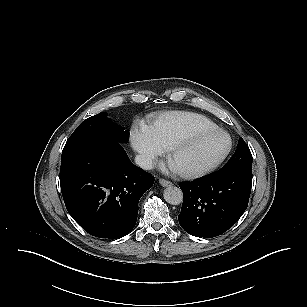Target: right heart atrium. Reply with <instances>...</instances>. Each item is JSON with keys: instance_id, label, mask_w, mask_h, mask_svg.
I'll return each instance as SVG.
<instances>
[{"instance_id": "d8ad5b80", "label": "right heart atrium", "mask_w": 307, "mask_h": 307, "mask_svg": "<svg viewBox=\"0 0 307 307\" xmlns=\"http://www.w3.org/2000/svg\"><path fill=\"white\" fill-rule=\"evenodd\" d=\"M130 140L140 164L145 168H151L164 151V148L152 138L144 126L132 129Z\"/></svg>"}]
</instances>
